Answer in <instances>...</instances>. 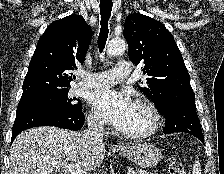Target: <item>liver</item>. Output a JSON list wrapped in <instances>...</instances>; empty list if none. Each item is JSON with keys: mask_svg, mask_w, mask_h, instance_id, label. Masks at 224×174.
Listing matches in <instances>:
<instances>
[{"mask_svg": "<svg viewBox=\"0 0 224 174\" xmlns=\"http://www.w3.org/2000/svg\"><path fill=\"white\" fill-rule=\"evenodd\" d=\"M104 156L103 144H90L80 133L36 127L21 132L12 143L9 174H51L61 164H78L87 173L99 168Z\"/></svg>", "mask_w": 224, "mask_h": 174, "instance_id": "liver-1", "label": "liver"}]
</instances>
